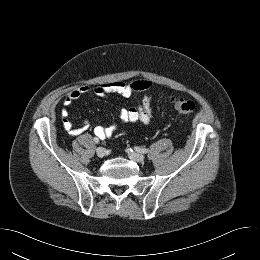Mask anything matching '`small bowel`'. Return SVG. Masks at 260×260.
<instances>
[{"label":"small bowel","mask_w":260,"mask_h":260,"mask_svg":"<svg viewBox=\"0 0 260 260\" xmlns=\"http://www.w3.org/2000/svg\"><path fill=\"white\" fill-rule=\"evenodd\" d=\"M91 91L87 85L79 86L70 91L63 100L65 108L61 110L63 126L72 136L83 134L89 127V122H84L75 127L69 121V107L74 101L78 100L82 95ZM92 91L100 97L107 95H118L129 98L137 93H144L140 104L133 107L122 109L119 112V124L141 122L145 125L149 124L152 119V100H153V83L149 80H136L133 82L111 81L106 83H98L92 87ZM103 118H100L98 124L94 128L96 136L105 138L111 136L117 129L118 124L105 127L102 125Z\"/></svg>","instance_id":"1"}]
</instances>
